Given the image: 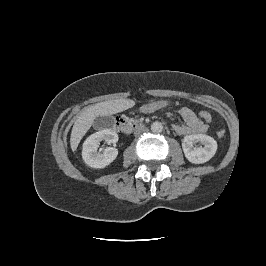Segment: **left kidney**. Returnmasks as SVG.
<instances>
[{
	"label": "left kidney",
	"instance_id": "obj_1",
	"mask_svg": "<svg viewBox=\"0 0 266 266\" xmlns=\"http://www.w3.org/2000/svg\"><path fill=\"white\" fill-rule=\"evenodd\" d=\"M201 143L203 147L195 148L194 143ZM185 157L194 164H202L209 161L216 153L217 142L205 134L185 136L182 143Z\"/></svg>",
	"mask_w": 266,
	"mask_h": 266
}]
</instances>
